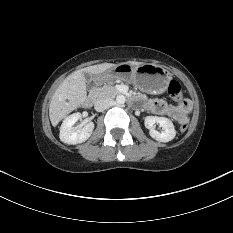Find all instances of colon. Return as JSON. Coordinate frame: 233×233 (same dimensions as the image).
<instances>
[{
	"label": "colon",
	"instance_id": "obj_1",
	"mask_svg": "<svg viewBox=\"0 0 233 233\" xmlns=\"http://www.w3.org/2000/svg\"><path fill=\"white\" fill-rule=\"evenodd\" d=\"M168 96L171 100L175 102H182L184 103V94L181 84L177 80H171L168 85ZM188 127V120L187 118L180 122V129L181 131H185Z\"/></svg>",
	"mask_w": 233,
	"mask_h": 233
}]
</instances>
